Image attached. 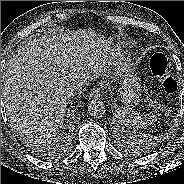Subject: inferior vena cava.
<instances>
[{"mask_svg":"<svg viewBox=\"0 0 184 184\" xmlns=\"http://www.w3.org/2000/svg\"><path fill=\"white\" fill-rule=\"evenodd\" d=\"M88 85V76L86 74H80L72 78V83L68 85V93L73 95L74 92L82 90Z\"/></svg>","mask_w":184,"mask_h":184,"instance_id":"602c4592","label":"inferior vena cava"}]
</instances>
